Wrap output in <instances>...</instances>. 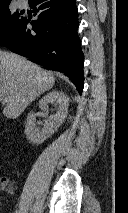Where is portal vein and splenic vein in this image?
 Returning a JSON list of instances; mask_svg holds the SVG:
<instances>
[{"instance_id": "18ae733b", "label": "portal vein and splenic vein", "mask_w": 128, "mask_h": 213, "mask_svg": "<svg viewBox=\"0 0 128 213\" xmlns=\"http://www.w3.org/2000/svg\"><path fill=\"white\" fill-rule=\"evenodd\" d=\"M0 101H4L2 98H0Z\"/></svg>"}]
</instances>
